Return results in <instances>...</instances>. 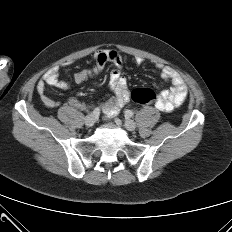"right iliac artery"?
<instances>
[{
    "instance_id": "82829eb1",
    "label": "right iliac artery",
    "mask_w": 232,
    "mask_h": 232,
    "mask_svg": "<svg viewBox=\"0 0 232 232\" xmlns=\"http://www.w3.org/2000/svg\"><path fill=\"white\" fill-rule=\"evenodd\" d=\"M93 116L94 117H98L99 115H100V109L99 108H95L94 110H93Z\"/></svg>"
}]
</instances>
